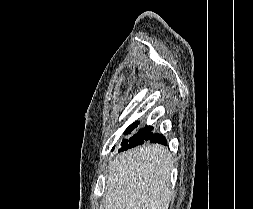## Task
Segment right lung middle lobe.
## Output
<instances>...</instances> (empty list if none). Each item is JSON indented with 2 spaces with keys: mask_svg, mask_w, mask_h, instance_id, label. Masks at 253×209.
Wrapping results in <instances>:
<instances>
[{
  "mask_svg": "<svg viewBox=\"0 0 253 209\" xmlns=\"http://www.w3.org/2000/svg\"><path fill=\"white\" fill-rule=\"evenodd\" d=\"M138 124L139 122L137 121L133 123L132 125H130L124 132V135L131 134V132L138 126ZM151 130H152L151 127H146L139 130L138 134H134L130 138L123 139L121 142V149L119 151H124L128 148H132V147L143 144L145 141H143L142 135L149 133ZM114 147L112 148V151L114 150Z\"/></svg>",
  "mask_w": 253,
  "mask_h": 209,
  "instance_id": "obj_1",
  "label": "right lung middle lobe"
}]
</instances>
